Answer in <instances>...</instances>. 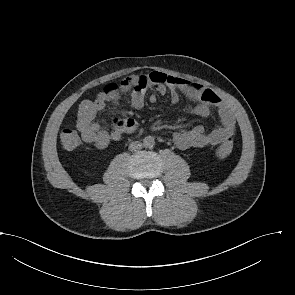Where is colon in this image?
I'll use <instances>...</instances> for the list:
<instances>
[{"instance_id": "1", "label": "colon", "mask_w": 295, "mask_h": 295, "mask_svg": "<svg viewBox=\"0 0 295 295\" xmlns=\"http://www.w3.org/2000/svg\"><path fill=\"white\" fill-rule=\"evenodd\" d=\"M114 86H108L105 90L111 89ZM60 139L63 144V146L68 150H73L77 148L81 143V138L79 136V133L74 128H64L61 131ZM233 150V141L231 138L226 139L224 142L221 143V145L217 149V154L220 157H227L231 154Z\"/></svg>"}]
</instances>
